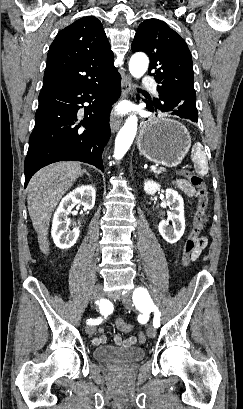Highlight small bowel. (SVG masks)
Wrapping results in <instances>:
<instances>
[{"label": "small bowel", "mask_w": 243, "mask_h": 409, "mask_svg": "<svg viewBox=\"0 0 243 409\" xmlns=\"http://www.w3.org/2000/svg\"><path fill=\"white\" fill-rule=\"evenodd\" d=\"M175 185L180 188L185 194H187L190 197H197L198 193L197 191L191 186L190 183H188L185 180H177L175 182ZM207 246V239L203 236H200L196 245V248L192 254V260H196L201 253L203 252V250L206 248ZM110 313V308H106L105 310V315L107 316ZM105 329L103 326H100L98 328V336H95L92 340L94 345H102L106 342L107 340V336L104 334ZM113 340L115 342V344L119 345V346H124V347H131L134 346L135 344H137L138 342H140L139 340V336H130L129 338L123 339L118 335H115L113 337Z\"/></svg>", "instance_id": "small-bowel-1"}]
</instances>
